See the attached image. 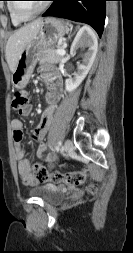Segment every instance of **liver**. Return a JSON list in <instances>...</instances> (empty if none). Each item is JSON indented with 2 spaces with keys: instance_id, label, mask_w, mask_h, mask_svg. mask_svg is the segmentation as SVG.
Masks as SVG:
<instances>
[{
  "instance_id": "6515ba94",
  "label": "liver",
  "mask_w": 133,
  "mask_h": 253,
  "mask_svg": "<svg viewBox=\"0 0 133 253\" xmlns=\"http://www.w3.org/2000/svg\"><path fill=\"white\" fill-rule=\"evenodd\" d=\"M42 19H37L11 35L6 44V60L10 70L13 72L23 49L37 36Z\"/></svg>"
}]
</instances>
